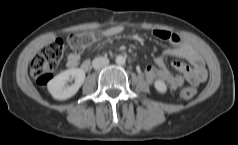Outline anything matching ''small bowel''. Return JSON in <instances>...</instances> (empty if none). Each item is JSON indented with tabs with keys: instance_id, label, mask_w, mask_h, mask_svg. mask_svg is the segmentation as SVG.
<instances>
[{
	"instance_id": "c3829d8e",
	"label": "small bowel",
	"mask_w": 238,
	"mask_h": 145,
	"mask_svg": "<svg viewBox=\"0 0 238 145\" xmlns=\"http://www.w3.org/2000/svg\"><path fill=\"white\" fill-rule=\"evenodd\" d=\"M123 31L122 26H114L102 32L103 37H113L119 35ZM155 37L168 41L172 48L166 50L163 55L154 59L155 65H150L145 69L146 79L155 83L158 81L165 82L168 87L175 90L183 85L185 80L193 86L203 82L207 77V70L203 60L198 52L179 34L166 30L156 29L153 31ZM168 56L179 57L187 60L193 66V70L187 64L174 61L173 66L180 72L184 73V77L173 74L166 66L165 58ZM66 64L69 68L80 67L83 71H88L91 67L90 60L85 59L80 62V53L72 52L67 56Z\"/></svg>"
}]
</instances>
